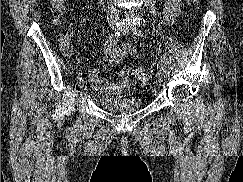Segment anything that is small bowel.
<instances>
[{"instance_id":"small-bowel-1","label":"small bowel","mask_w":243,"mask_h":182,"mask_svg":"<svg viewBox=\"0 0 243 182\" xmlns=\"http://www.w3.org/2000/svg\"><path fill=\"white\" fill-rule=\"evenodd\" d=\"M182 0H164V22L171 25L180 12ZM107 63L116 67L122 61L135 53V47L128 43H120L118 39L108 40L103 48ZM89 82L95 91L104 95L119 97L133 89L129 71L122 69L117 81H105L100 70L96 67L88 68Z\"/></svg>"}]
</instances>
